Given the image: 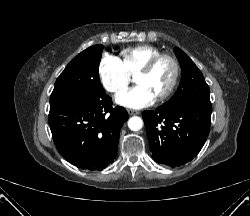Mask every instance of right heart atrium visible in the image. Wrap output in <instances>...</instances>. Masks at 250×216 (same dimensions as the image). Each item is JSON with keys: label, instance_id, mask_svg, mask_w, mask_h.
I'll list each match as a JSON object with an SVG mask.
<instances>
[{"label": "right heart atrium", "instance_id": "1", "mask_svg": "<svg viewBox=\"0 0 250 216\" xmlns=\"http://www.w3.org/2000/svg\"><path fill=\"white\" fill-rule=\"evenodd\" d=\"M99 76L103 87L112 94L123 92L131 81V75L115 56H104L99 64Z\"/></svg>", "mask_w": 250, "mask_h": 216}]
</instances>
